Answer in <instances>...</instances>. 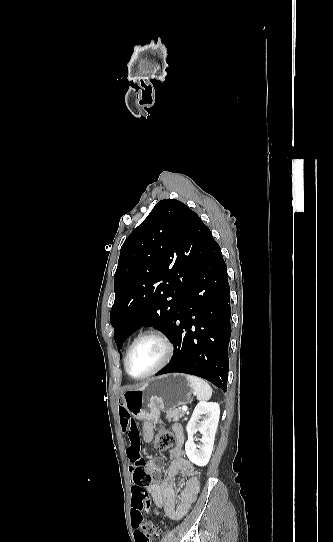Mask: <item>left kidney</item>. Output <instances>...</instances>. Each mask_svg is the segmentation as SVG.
<instances>
[{"label":"left kidney","mask_w":333,"mask_h":542,"mask_svg":"<svg viewBox=\"0 0 333 542\" xmlns=\"http://www.w3.org/2000/svg\"><path fill=\"white\" fill-rule=\"evenodd\" d=\"M219 416V404H216V402H199L186 426L188 440L185 444V452L188 460L196 464V466H207L211 458ZM199 420H202V422H199ZM196 432L202 434L201 446L194 444V434Z\"/></svg>","instance_id":"5707ae66"}]
</instances>
